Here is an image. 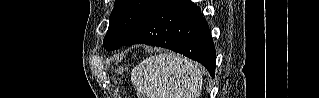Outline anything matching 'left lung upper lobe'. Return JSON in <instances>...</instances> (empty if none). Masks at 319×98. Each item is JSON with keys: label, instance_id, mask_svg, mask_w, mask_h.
I'll list each match as a JSON object with an SVG mask.
<instances>
[{"label": "left lung upper lobe", "instance_id": "obj_1", "mask_svg": "<svg viewBox=\"0 0 319 98\" xmlns=\"http://www.w3.org/2000/svg\"><path fill=\"white\" fill-rule=\"evenodd\" d=\"M157 0H116L103 45L108 50L123 46L143 23Z\"/></svg>", "mask_w": 319, "mask_h": 98}]
</instances>
